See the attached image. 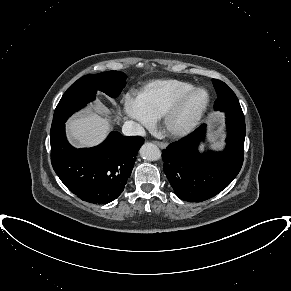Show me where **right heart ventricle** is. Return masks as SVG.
I'll return each instance as SVG.
<instances>
[{"instance_id": "e07e8e85", "label": "right heart ventricle", "mask_w": 291, "mask_h": 291, "mask_svg": "<svg viewBox=\"0 0 291 291\" xmlns=\"http://www.w3.org/2000/svg\"><path fill=\"white\" fill-rule=\"evenodd\" d=\"M192 87L194 86L190 82L178 79L154 80L140 90L137 100L145 112L155 120L161 117L179 95Z\"/></svg>"}]
</instances>
